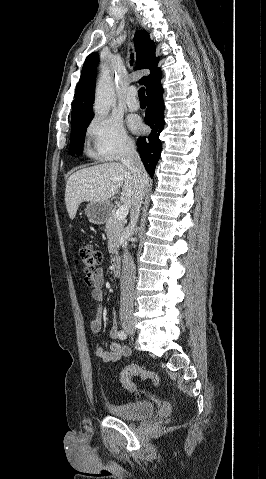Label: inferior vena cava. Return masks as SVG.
<instances>
[{
	"instance_id": "obj_1",
	"label": "inferior vena cava",
	"mask_w": 266,
	"mask_h": 479,
	"mask_svg": "<svg viewBox=\"0 0 266 479\" xmlns=\"http://www.w3.org/2000/svg\"><path fill=\"white\" fill-rule=\"evenodd\" d=\"M122 163L131 171L137 185L138 197L135 206L130 213V223L125 230V236L129 237L135 230L136 223L140 214V207L149 184L148 174L144 169L140 156L133 143H127L121 158ZM124 256L122 260V275L120 280L121 298H120V319L126 320L133 317L134 307V288L136 268L132 257L127 250V243L123 244Z\"/></svg>"
}]
</instances>
